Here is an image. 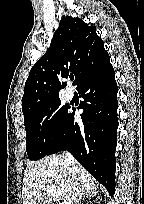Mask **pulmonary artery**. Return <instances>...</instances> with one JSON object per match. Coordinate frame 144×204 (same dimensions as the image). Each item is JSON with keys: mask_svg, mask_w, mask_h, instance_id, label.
Here are the masks:
<instances>
[{"mask_svg": "<svg viewBox=\"0 0 144 204\" xmlns=\"http://www.w3.org/2000/svg\"><path fill=\"white\" fill-rule=\"evenodd\" d=\"M65 97H66L67 100H71V99L73 98V92H72V90H67V91L65 92Z\"/></svg>", "mask_w": 144, "mask_h": 204, "instance_id": "e3ab8cb5", "label": "pulmonary artery"}]
</instances>
